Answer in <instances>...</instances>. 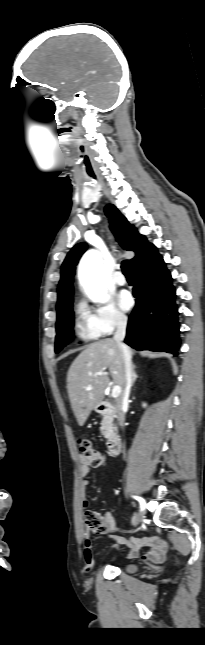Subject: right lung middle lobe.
<instances>
[{
	"instance_id": "obj_1",
	"label": "right lung middle lobe",
	"mask_w": 205,
	"mask_h": 645,
	"mask_svg": "<svg viewBox=\"0 0 205 645\" xmlns=\"http://www.w3.org/2000/svg\"><path fill=\"white\" fill-rule=\"evenodd\" d=\"M74 315L72 305L57 315L55 352L58 353L73 338Z\"/></svg>"
}]
</instances>
